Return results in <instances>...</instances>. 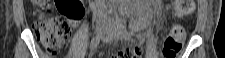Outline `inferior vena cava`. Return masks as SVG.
Here are the masks:
<instances>
[{
    "mask_svg": "<svg viewBox=\"0 0 225 58\" xmlns=\"http://www.w3.org/2000/svg\"><path fill=\"white\" fill-rule=\"evenodd\" d=\"M97 6H98V11H97V15L99 18L105 20L107 19V13L104 9V1L103 0H98L97 1Z\"/></svg>",
    "mask_w": 225,
    "mask_h": 58,
    "instance_id": "602c4592",
    "label": "inferior vena cava"
}]
</instances>
